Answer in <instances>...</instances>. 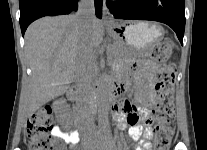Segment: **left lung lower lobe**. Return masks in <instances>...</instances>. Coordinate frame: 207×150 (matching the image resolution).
Segmentation results:
<instances>
[{"instance_id": "0a47b994", "label": "left lung lower lobe", "mask_w": 207, "mask_h": 150, "mask_svg": "<svg viewBox=\"0 0 207 150\" xmlns=\"http://www.w3.org/2000/svg\"><path fill=\"white\" fill-rule=\"evenodd\" d=\"M106 5L118 19L154 20L169 25L183 44L185 0L106 1Z\"/></svg>"}]
</instances>
